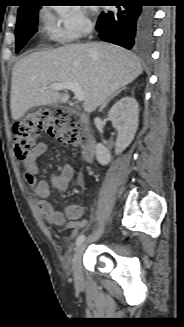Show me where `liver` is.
I'll return each instance as SVG.
<instances>
[{"mask_svg":"<svg viewBox=\"0 0 184 327\" xmlns=\"http://www.w3.org/2000/svg\"><path fill=\"white\" fill-rule=\"evenodd\" d=\"M142 72L133 53L105 42L72 44L31 53L20 59L12 71V118L20 119L33 107L66 103L68 93L47 86L67 82L77 83L82 88L83 108L91 113ZM42 87L46 89L40 91Z\"/></svg>","mask_w":184,"mask_h":327,"instance_id":"obj_1","label":"liver"}]
</instances>
